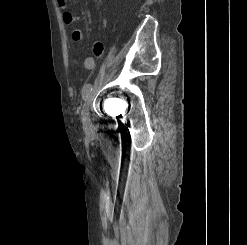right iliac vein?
<instances>
[{
  "label": "right iliac vein",
  "mask_w": 247,
  "mask_h": 245,
  "mask_svg": "<svg viewBox=\"0 0 247 245\" xmlns=\"http://www.w3.org/2000/svg\"><path fill=\"white\" fill-rule=\"evenodd\" d=\"M94 93L91 92L88 94V96L85 99V103L83 105L81 117H82V122L85 127H90L91 126V121H90V116H89V108L91 105V102L93 100Z\"/></svg>",
  "instance_id": "obj_1"
}]
</instances>
